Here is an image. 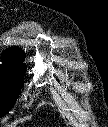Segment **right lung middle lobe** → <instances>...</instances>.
I'll return each mask as SVG.
<instances>
[{
  "label": "right lung middle lobe",
  "instance_id": "1",
  "mask_svg": "<svg viewBox=\"0 0 108 127\" xmlns=\"http://www.w3.org/2000/svg\"><path fill=\"white\" fill-rule=\"evenodd\" d=\"M26 67L18 64L0 66V116L13 106L23 86V74Z\"/></svg>",
  "mask_w": 108,
  "mask_h": 127
}]
</instances>
